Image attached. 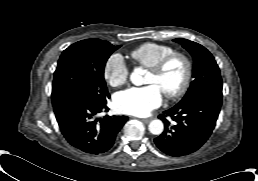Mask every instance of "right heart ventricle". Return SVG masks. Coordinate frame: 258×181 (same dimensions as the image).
Returning <instances> with one entry per match:
<instances>
[{"instance_id": "1", "label": "right heart ventricle", "mask_w": 258, "mask_h": 181, "mask_svg": "<svg viewBox=\"0 0 258 181\" xmlns=\"http://www.w3.org/2000/svg\"><path fill=\"white\" fill-rule=\"evenodd\" d=\"M174 49L166 44L145 42L130 52V57L139 65L150 68L161 58L173 52Z\"/></svg>"}]
</instances>
